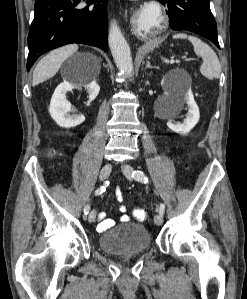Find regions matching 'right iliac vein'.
Returning a JSON list of instances; mask_svg holds the SVG:
<instances>
[{"mask_svg": "<svg viewBox=\"0 0 247 299\" xmlns=\"http://www.w3.org/2000/svg\"><path fill=\"white\" fill-rule=\"evenodd\" d=\"M111 170H112V165L110 163L104 165L100 172V180L101 181L106 180ZM95 219H96V211L92 210L88 216V221L92 223L95 221Z\"/></svg>", "mask_w": 247, "mask_h": 299, "instance_id": "obj_1", "label": "right iliac vein"}]
</instances>
